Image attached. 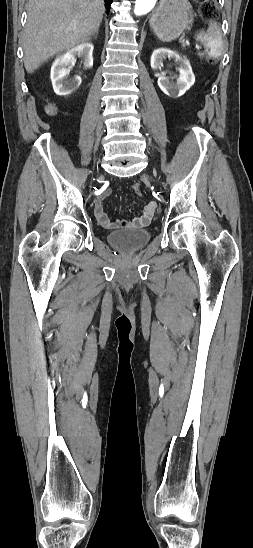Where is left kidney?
I'll use <instances>...</instances> for the list:
<instances>
[{"label": "left kidney", "instance_id": "5707ae66", "mask_svg": "<svg viewBox=\"0 0 253 548\" xmlns=\"http://www.w3.org/2000/svg\"><path fill=\"white\" fill-rule=\"evenodd\" d=\"M166 58L174 60L179 65V77L176 82H172L168 77L161 74L158 78V86L169 97H180L194 84V73L186 57H181L165 48L153 52L150 62L151 68L153 70L160 69L163 66V60Z\"/></svg>", "mask_w": 253, "mask_h": 548}]
</instances>
